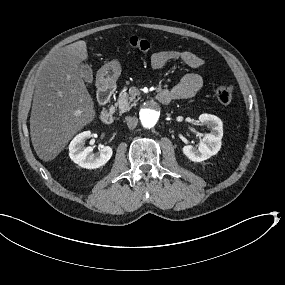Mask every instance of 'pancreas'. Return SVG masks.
Here are the masks:
<instances>
[{
	"label": "pancreas",
	"mask_w": 285,
	"mask_h": 285,
	"mask_svg": "<svg viewBox=\"0 0 285 285\" xmlns=\"http://www.w3.org/2000/svg\"><path fill=\"white\" fill-rule=\"evenodd\" d=\"M133 100L134 99L129 97L127 93H123L119 96L116 105H118L121 114L131 109L130 104Z\"/></svg>",
	"instance_id": "1"
}]
</instances>
